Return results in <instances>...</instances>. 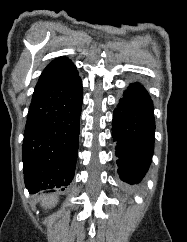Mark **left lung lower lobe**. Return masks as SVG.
<instances>
[{
  "mask_svg": "<svg viewBox=\"0 0 187 242\" xmlns=\"http://www.w3.org/2000/svg\"><path fill=\"white\" fill-rule=\"evenodd\" d=\"M153 102L140 83H131L114 110L112 137L116 142L118 173L129 184L140 183L154 150Z\"/></svg>",
  "mask_w": 187,
  "mask_h": 242,
  "instance_id": "0a47b994",
  "label": "left lung lower lobe"
}]
</instances>
